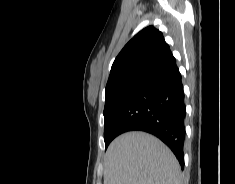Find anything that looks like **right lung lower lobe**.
<instances>
[{
    "label": "right lung lower lobe",
    "instance_id": "obj_1",
    "mask_svg": "<svg viewBox=\"0 0 235 184\" xmlns=\"http://www.w3.org/2000/svg\"><path fill=\"white\" fill-rule=\"evenodd\" d=\"M181 79L171 55L128 92L110 130L117 136L128 131L155 135L172 150L183 169L186 107Z\"/></svg>",
    "mask_w": 235,
    "mask_h": 184
}]
</instances>
